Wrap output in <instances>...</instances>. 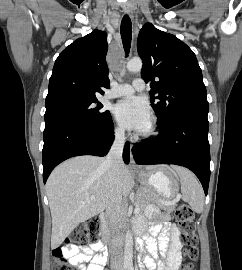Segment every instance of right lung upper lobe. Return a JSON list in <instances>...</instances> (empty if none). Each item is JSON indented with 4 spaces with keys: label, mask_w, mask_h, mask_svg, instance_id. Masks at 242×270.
<instances>
[{
    "label": "right lung upper lobe",
    "mask_w": 242,
    "mask_h": 270,
    "mask_svg": "<svg viewBox=\"0 0 242 270\" xmlns=\"http://www.w3.org/2000/svg\"><path fill=\"white\" fill-rule=\"evenodd\" d=\"M107 34L93 30L75 40L57 57L49 80L46 106L70 100L96 99L109 87Z\"/></svg>",
    "instance_id": "obj_1"
}]
</instances>
